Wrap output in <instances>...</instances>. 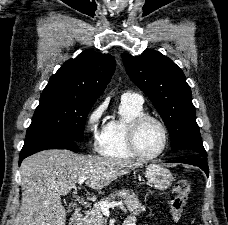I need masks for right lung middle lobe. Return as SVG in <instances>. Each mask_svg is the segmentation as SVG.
<instances>
[{"instance_id":"right-lung-middle-lobe-1","label":"right lung middle lobe","mask_w":228,"mask_h":225,"mask_svg":"<svg viewBox=\"0 0 228 225\" xmlns=\"http://www.w3.org/2000/svg\"><path fill=\"white\" fill-rule=\"evenodd\" d=\"M95 101L58 90H43L26 138L59 135L83 141L85 121Z\"/></svg>"}]
</instances>
